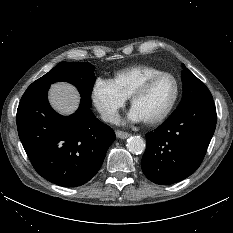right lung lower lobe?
Returning <instances> with one entry per match:
<instances>
[{"mask_svg": "<svg viewBox=\"0 0 233 233\" xmlns=\"http://www.w3.org/2000/svg\"><path fill=\"white\" fill-rule=\"evenodd\" d=\"M49 85H30L17 110V129L35 170L48 181L77 187L100 169L116 136L100 122L81 99L70 116L56 113L49 105Z\"/></svg>", "mask_w": 233, "mask_h": 233, "instance_id": "obj_1", "label": "right lung lower lobe"}]
</instances>
